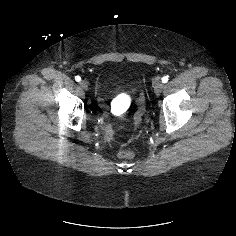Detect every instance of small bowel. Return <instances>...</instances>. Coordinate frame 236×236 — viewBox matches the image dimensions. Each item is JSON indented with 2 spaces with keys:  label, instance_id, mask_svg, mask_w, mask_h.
<instances>
[{
  "label": "small bowel",
  "instance_id": "obj_1",
  "mask_svg": "<svg viewBox=\"0 0 236 236\" xmlns=\"http://www.w3.org/2000/svg\"><path fill=\"white\" fill-rule=\"evenodd\" d=\"M99 101L103 103V99L102 98H100Z\"/></svg>",
  "mask_w": 236,
  "mask_h": 236
}]
</instances>
